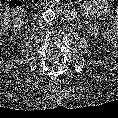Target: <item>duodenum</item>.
I'll return each instance as SVG.
<instances>
[{"instance_id": "410a0bca", "label": "duodenum", "mask_w": 118, "mask_h": 118, "mask_svg": "<svg viewBox=\"0 0 118 118\" xmlns=\"http://www.w3.org/2000/svg\"><path fill=\"white\" fill-rule=\"evenodd\" d=\"M59 9H60V11H61L66 17H70L71 12L68 10V8H66V7H60Z\"/></svg>"}]
</instances>
